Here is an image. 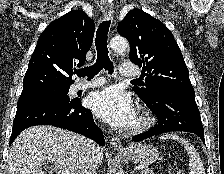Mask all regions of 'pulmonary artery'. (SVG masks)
<instances>
[{
    "label": "pulmonary artery",
    "mask_w": 224,
    "mask_h": 174,
    "mask_svg": "<svg viewBox=\"0 0 224 174\" xmlns=\"http://www.w3.org/2000/svg\"><path fill=\"white\" fill-rule=\"evenodd\" d=\"M120 73L124 77L138 76L140 74V69L136 65H134L133 63L125 62L121 65ZM103 83H104L103 79L96 78V79H93L89 82L76 83L73 86V90L78 91V90L89 88V87L99 86V85H102Z\"/></svg>",
    "instance_id": "obj_1"
}]
</instances>
